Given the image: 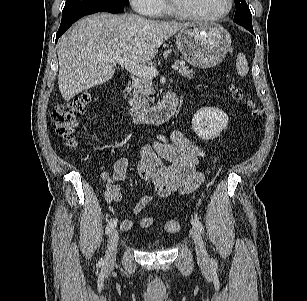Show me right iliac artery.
<instances>
[{
  "label": "right iliac artery",
  "instance_id": "obj_1",
  "mask_svg": "<svg viewBox=\"0 0 307 301\" xmlns=\"http://www.w3.org/2000/svg\"><path fill=\"white\" fill-rule=\"evenodd\" d=\"M116 225H117V219L116 218L111 219L107 224L106 234L111 233L112 230L116 227ZM100 263H103L102 259L100 260Z\"/></svg>",
  "mask_w": 307,
  "mask_h": 301
}]
</instances>
